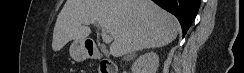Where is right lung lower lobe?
I'll return each mask as SVG.
<instances>
[{
  "label": "right lung lower lobe",
  "instance_id": "obj_1",
  "mask_svg": "<svg viewBox=\"0 0 244 73\" xmlns=\"http://www.w3.org/2000/svg\"><path fill=\"white\" fill-rule=\"evenodd\" d=\"M175 15L182 27L183 36L194 21L201 0H152Z\"/></svg>",
  "mask_w": 244,
  "mask_h": 73
}]
</instances>
